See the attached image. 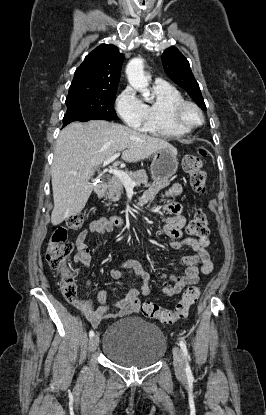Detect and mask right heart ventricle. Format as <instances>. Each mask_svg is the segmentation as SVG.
Instances as JSON below:
<instances>
[{
    "label": "right heart ventricle",
    "mask_w": 266,
    "mask_h": 415,
    "mask_svg": "<svg viewBox=\"0 0 266 415\" xmlns=\"http://www.w3.org/2000/svg\"><path fill=\"white\" fill-rule=\"evenodd\" d=\"M152 93V101L145 104L146 117L142 130L164 138H177L188 134L190 130L177 126L170 114L172 105L183 100L181 92L169 83L156 82Z\"/></svg>",
    "instance_id": "obj_1"
}]
</instances>
